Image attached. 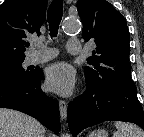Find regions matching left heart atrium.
Returning a JSON list of instances; mask_svg holds the SVG:
<instances>
[{"mask_svg":"<svg viewBox=\"0 0 144 137\" xmlns=\"http://www.w3.org/2000/svg\"><path fill=\"white\" fill-rule=\"evenodd\" d=\"M76 81V75L74 69L64 63H56L50 66L46 73V85L51 91L67 96L69 95Z\"/></svg>","mask_w":144,"mask_h":137,"instance_id":"obj_1","label":"left heart atrium"}]
</instances>
